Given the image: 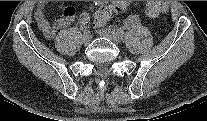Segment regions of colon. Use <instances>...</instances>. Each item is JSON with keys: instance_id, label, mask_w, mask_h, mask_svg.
Listing matches in <instances>:
<instances>
[{"instance_id": "obj_1", "label": "colon", "mask_w": 207, "mask_h": 121, "mask_svg": "<svg viewBox=\"0 0 207 121\" xmlns=\"http://www.w3.org/2000/svg\"><path fill=\"white\" fill-rule=\"evenodd\" d=\"M116 8V6L111 4L100 5L94 14L96 23L99 25L105 24L115 14ZM167 10V4L160 1H149L144 7V11L149 17H156Z\"/></svg>"}]
</instances>
